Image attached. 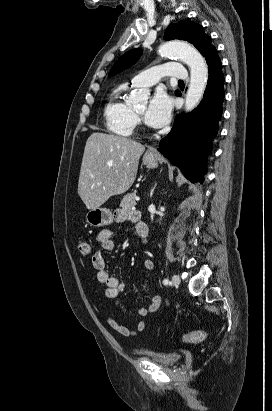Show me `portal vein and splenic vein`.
Instances as JSON below:
<instances>
[{
  "label": "portal vein and splenic vein",
  "mask_w": 272,
  "mask_h": 411,
  "mask_svg": "<svg viewBox=\"0 0 272 411\" xmlns=\"http://www.w3.org/2000/svg\"><path fill=\"white\" fill-rule=\"evenodd\" d=\"M135 200H136V201H139V200H140V198H139L138 196H136V197H135Z\"/></svg>",
  "instance_id": "18ae733b"
}]
</instances>
